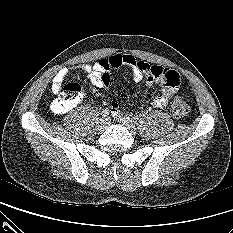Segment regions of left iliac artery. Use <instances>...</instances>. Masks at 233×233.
Masks as SVG:
<instances>
[{
  "mask_svg": "<svg viewBox=\"0 0 233 233\" xmlns=\"http://www.w3.org/2000/svg\"><path fill=\"white\" fill-rule=\"evenodd\" d=\"M138 119H139L138 116H134V117H133V120H134V121H138Z\"/></svg>",
  "mask_w": 233,
  "mask_h": 233,
  "instance_id": "1",
  "label": "left iliac artery"
}]
</instances>
